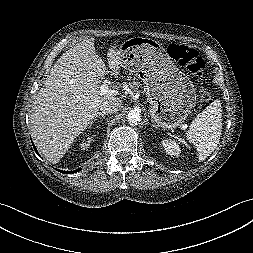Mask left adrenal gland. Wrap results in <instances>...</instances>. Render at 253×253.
I'll return each mask as SVG.
<instances>
[{"mask_svg":"<svg viewBox=\"0 0 253 253\" xmlns=\"http://www.w3.org/2000/svg\"><path fill=\"white\" fill-rule=\"evenodd\" d=\"M152 126L156 129H159L157 125H155L154 121L152 120Z\"/></svg>","mask_w":253,"mask_h":253,"instance_id":"a2214340","label":"left adrenal gland"}]
</instances>
